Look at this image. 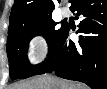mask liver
<instances>
[{"label": "liver", "mask_w": 107, "mask_h": 89, "mask_svg": "<svg viewBox=\"0 0 107 89\" xmlns=\"http://www.w3.org/2000/svg\"><path fill=\"white\" fill-rule=\"evenodd\" d=\"M9 89H87V86L49 75H41L24 82L13 84Z\"/></svg>", "instance_id": "6515ba94"}]
</instances>
